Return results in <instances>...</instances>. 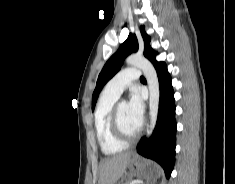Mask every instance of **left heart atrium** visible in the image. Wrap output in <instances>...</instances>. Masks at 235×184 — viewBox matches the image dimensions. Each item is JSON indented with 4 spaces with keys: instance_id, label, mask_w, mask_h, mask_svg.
Instances as JSON below:
<instances>
[{
    "instance_id": "obj_1",
    "label": "left heart atrium",
    "mask_w": 235,
    "mask_h": 184,
    "mask_svg": "<svg viewBox=\"0 0 235 184\" xmlns=\"http://www.w3.org/2000/svg\"><path fill=\"white\" fill-rule=\"evenodd\" d=\"M131 116L140 124L144 117V104L137 90H133L127 103Z\"/></svg>"
}]
</instances>
